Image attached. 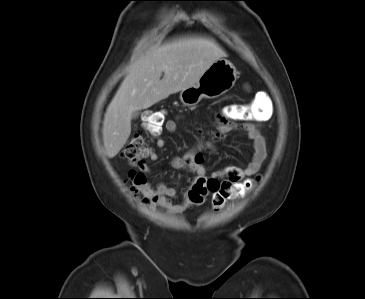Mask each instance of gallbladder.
<instances>
[{
  "instance_id": "bac80fb5",
  "label": "gallbladder",
  "mask_w": 365,
  "mask_h": 299,
  "mask_svg": "<svg viewBox=\"0 0 365 299\" xmlns=\"http://www.w3.org/2000/svg\"><path fill=\"white\" fill-rule=\"evenodd\" d=\"M139 116V111H135L132 113L131 118L136 119Z\"/></svg>"
}]
</instances>
